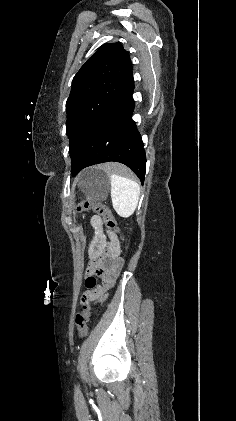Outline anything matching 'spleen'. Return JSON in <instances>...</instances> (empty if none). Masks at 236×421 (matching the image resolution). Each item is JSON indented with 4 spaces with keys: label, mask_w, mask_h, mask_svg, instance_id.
<instances>
[{
    "label": "spleen",
    "mask_w": 236,
    "mask_h": 421,
    "mask_svg": "<svg viewBox=\"0 0 236 421\" xmlns=\"http://www.w3.org/2000/svg\"><path fill=\"white\" fill-rule=\"evenodd\" d=\"M111 180V198L114 211L119 217H131L135 208H137L140 186L135 180L120 176L112 172Z\"/></svg>",
    "instance_id": "1"
}]
</instances>
